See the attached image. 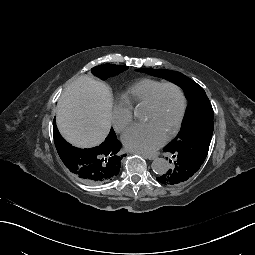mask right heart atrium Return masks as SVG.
Segmentation results:
<instances>
[{
  "mask_svg": "<svg viewBox=\"0 0 255 255\" xmlns=\"http://www.w3.org/2000/svg\"><path fill=\"white\" fill-rule=\"evenodd\" d=\"M113 129L122 133L133 121V113L130 109L120 103L113 105L110 114Z\"/></svg>",
  "mask_w": 255,
  "mask_h": 255,
  "instance_id": "1",
  "label": "right heart atrium"
}]
</instances>
